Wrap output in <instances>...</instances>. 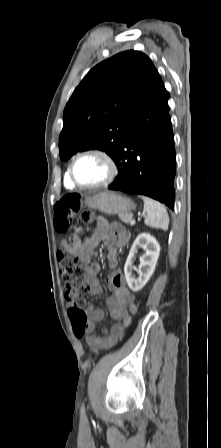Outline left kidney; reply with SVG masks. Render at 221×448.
Masks as SVG:
<instances>
[{"label": "left kidney", "instance_id": "obj_1", "mask_svg": "<svg viewBox=\"0 0 221 448\" xmlns=\"http://www.w3.org/2000/svg\"><path fill=\"white\" fill-rule=\"evenodd\" d=\"M139 248L144 249L145 253L140 258L142 270L139 271V277L136 279L132 274V265ZM159 253L160 245L153 236L141 233L136 237L124 266L127 284L133 292L141 290L148 282L155 270Z\"/></svg>", "mask_w": 221, "mask_h": 448}]
</instances>
